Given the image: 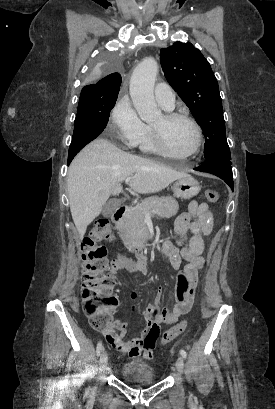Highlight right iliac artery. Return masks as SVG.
<instances>
[{
  "instance_id": "obj_1",
  "label": "right iliac artery",
  "mask_w": 275,
  "mask_h": 409,
  "mask_svg": "<svg viewBox=\"0 0 275 409\" xmlns=\"http://www.w3.org/2000/svg\"><path fill=\"white\" fill-rule=\"evenodd\" d=\"M102 350H103L102 342H99V343L97 344V349H96L97 356H100Z\"/></svg>"
}]
</instances>
